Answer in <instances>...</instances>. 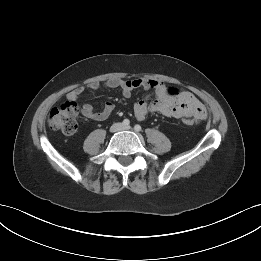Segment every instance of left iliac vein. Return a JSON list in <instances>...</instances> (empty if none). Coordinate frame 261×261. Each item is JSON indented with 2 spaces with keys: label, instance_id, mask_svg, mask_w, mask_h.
Instances as JSON below:
<instances>
[{
  "label": "left iliac vein",
  "instance_id": "left-iliac-vein-1",
  "mask_svg": "<svg viewBox=\"0 0 261 261\" xmlns=\"http://www.w3.org/2000/svg\"><path fill=\"white\" fill-rule=\"evenodd\" d=\"M122 130H131V127L130 126H123Z\"/></svg>",
  "mask_w": 261,
  "mask_h": 261
}]
</instances>
